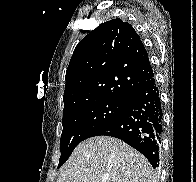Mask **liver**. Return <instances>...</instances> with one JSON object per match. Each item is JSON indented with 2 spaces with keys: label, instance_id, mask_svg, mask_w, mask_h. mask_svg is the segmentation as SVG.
<instances>
[{
  "label": "liver",
  "instance_id": "6515ba94",
  "mask_svg": "<svg viewBox=\"0 0 196 182\" xmlns=\"http://www.w3.org/2000/svg\"><path fill=\"white\" fill-rule=\"evenodd\" d=\"M57 182H158L148 160L125 142L107 136L81 142Z\"/></svg>",
  "mask_w": 196,
  "mask_h": 182
}]
</instances>
